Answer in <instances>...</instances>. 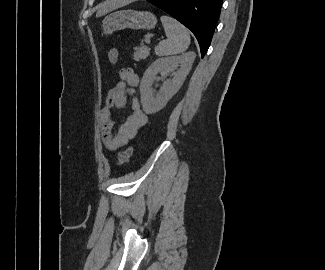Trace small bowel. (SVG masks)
Listing matches in <instances>:
<instances>
[{
    "label": "small bowel",
    "instance_id": "1",
    "mask_svg": "<svg viewBox=\"0 0 325 270\" xmlns=\"http://www.w3.org/2000/svg\"><path fill=\"white\" fill-rule=\"evenodd\" d=\"M120 75L121 81L108 91L105 106L100 114L102 143L110 151L118 150L127 145L148 122L147 115L133 96L139 84V77L130 70H123ZM128 95L132 96L131 113L114 133L112 109L126 107Z\"/></svg>",
    "mask_w": 325,
    "mask_h": 270
}]
</instances>
